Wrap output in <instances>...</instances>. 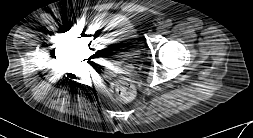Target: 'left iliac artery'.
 I'll list each match as a JSON object with an SVG mask.
<instances>
[{
    "instance_id": "1",
    "label": "left iliac artery",
    "mask_w": 253,
    "mask_h": 138,
    "mask_svg": "<svg viewBox=\"0 0 253 138\" xmlns=\"http://www.w3.org/2000/svg\"><path fill=\"white\" fill-rule=\"evenodd\" d=\"M165 26L167 28H170L172 26V22L171 21H167L166 24H165Z\"/></svg>"
}]
</instances>
